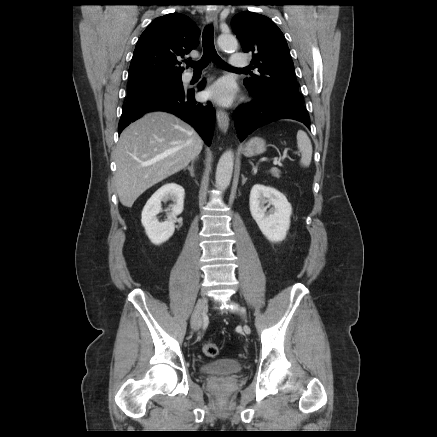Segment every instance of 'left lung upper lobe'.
I'll list each match as a JSON object with an SVG mask.
<instances>
[{"label": "left lung upper lobe", "mask_w": 437, "mask_h": 437, "mask_svg": "<svg viewBox=\"0 0 437 437\" xmlns=\"http://www.w3.org/2000/svg\"><path fill=\"white\" fill-rule=\"evenodd\" d=\"M231 25L243 51L252 54L251 64L259 72L244 79L249 93L302 102L289 48L277 25L270 18L250 11L235 15Z\"/></svg>", "instance_id": "obj_1"}]
</instances>
